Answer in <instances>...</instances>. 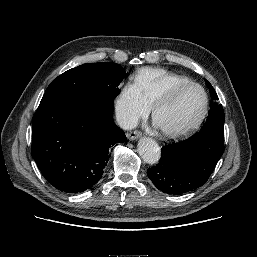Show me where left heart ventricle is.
Listing matches in <instances>:
<instances>
[{
    "label": "left heart ventricle",
    "mask_w": 257,
    "mask_h": 257,
    "mask_svg": "<svg viewBox=\"0 0 257 257\" xmlns=\"http://www.w3.org/2000/svg\"><path fill=\"white\" fill-rule=\"evenodd\" d=\"M204 106V96L199 88L181 91L172 102L158 111V121L164 128L176 129L193 123Z\"/></svg>",
    "instance_id": "b2bd125f"
}]
</instances>
